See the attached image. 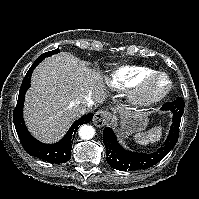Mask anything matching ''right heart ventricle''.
I'll use <instances>...</instances> for the list:
<instances>
[{"label":"right heart ventricle","instance_id":"right-heart-ventricle-1","mask_svg":"<svg viewBox=\"0 0 199 199\" xmlns=\"http://www.w3.org/2000/svg\"><path fill=\"white\" fill-rule=\"evenodd\" d=\"M154 69L146 66L127 65L117 68L108 79V84L116 89L138 87Z\"/></svg>","mask_w":199,"mask_h":199}]
</instances>
